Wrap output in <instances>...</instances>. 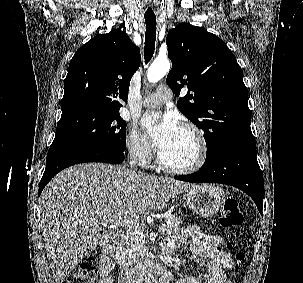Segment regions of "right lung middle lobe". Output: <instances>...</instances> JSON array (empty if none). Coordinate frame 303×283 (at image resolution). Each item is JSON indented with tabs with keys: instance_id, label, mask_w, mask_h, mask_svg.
Instances as JSON below:
<instances>
[{
	"instance_id": "1",
	"label": "right lung middle lobe",
	"mask_w": 303,
	"mask_h": 283,
	"mask_svg": "<svg viewBox=\"0 0 303 283\" xmlns=\"http://www.w3.org/2000/svg\"><path fill=\"white\" fill-rule=\"evenodd\" d=\"M125 129L126 122L119 113L83 111L61 116L50 149L91 147L124 152Z\"/></svg>"
}]
</instances>
